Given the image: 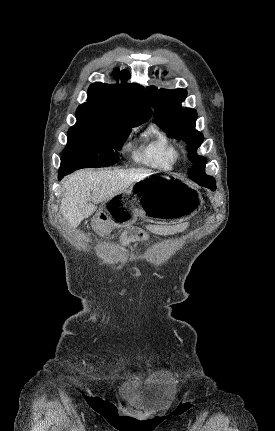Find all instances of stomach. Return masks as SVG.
Returning <instances> with one entry per match:
<instances>
[{"instance_id": "1", "label": "stomach", "mask_w": 275, "mask_h": 431, "mask_svg": "<svg viewBox=\"0 0 275 431\" xmlns=\"http://www.w3.org/2000/svg\"><path fill=\"white\" fill-rule=\"evenodd\" d=\"M203 205L198 190L186 181L153 173L103 202L91 225L99 235L115 227H128L138 217L151 223L173 225L197 214Z\"/></svg>"}]
</instances>
